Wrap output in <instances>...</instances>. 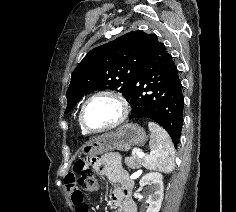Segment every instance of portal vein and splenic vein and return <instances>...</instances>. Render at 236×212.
Instances as JSON below:
<instances>
[{
    "instance_id": "portal-vein-and-splenic-vein-1",
    "label": "portal vein and splenic vein",
    "mask_w": 236,
    "mask_h": 212,
    "mask_svg": "<svg viewBox=\"0 0 236 212\" xmlns=\"http://www.w3.org/2000/svg\"><path fill=\"white\" fill-rule=\"evenodd\" d=\"M132 155H137L138 157H143L144 156V153L140 150V149H134L133 152H132Z\"/></svg>"
}]
</instances>
